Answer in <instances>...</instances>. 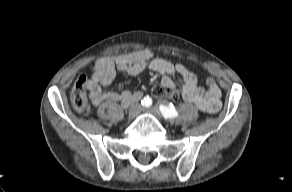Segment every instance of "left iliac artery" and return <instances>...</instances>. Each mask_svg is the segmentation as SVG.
<instances>
[{
  "mask_svg": "<svg viewBox=\"0 0 292 192\" xmlns=\"http://www.w3.org/2000/svg\"><path fill=\"white\" fill-rule=\"evenodd\" d=\"M159 109L165 119L175 118L178 116V112L172 104L170 105L161 104Z\"/></svg>",
  "mask_w": 292,
  "mask_h": 192,
  "instance_id": "left-iliac-artery-1",
  "label": "left iliac artery"
}]
</instances>
